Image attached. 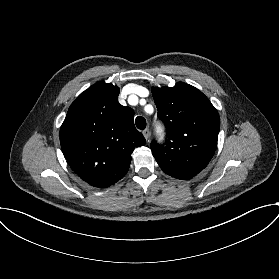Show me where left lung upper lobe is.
<instances>
[{
  "instance_id": "obj_1",
  "label": "left lung upper lobe",
  "mask_w": 279,
  "mask_h": 279,
  "mask_svg": "<svg viewBox=\"0 0 279 279\" xmlns=\"http://www.w3.org/2000/svg\"><path fill=\"white\" fill-rule=\"evenodd\" d=\"M158 117L167 129L163 145L151 143L152 154L168 175L188 180L212 159L220 119L209 99L195 87L179 82L175 87H153Z\"/></svg>"
}]
</instances>
